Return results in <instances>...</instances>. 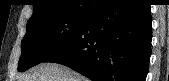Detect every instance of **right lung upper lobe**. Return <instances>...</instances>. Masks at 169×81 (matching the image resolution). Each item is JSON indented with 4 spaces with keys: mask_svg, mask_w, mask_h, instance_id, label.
Segmentation results:
<instances>
[{
    "mask_svg": "<svg viewBox=\"0 0 169 81\" xmlns=\"http://www.w3.org/2000/svg\"><path fill=\"white\" fill-rule=\"evenodd\" d=\"M33 15L29 22L50 16L89 17L111 0H34Z\"/></svg>",
    "mask_w": 169,
    "mask_h": 81,
    "instance_id": "obj_1",
    "label": "right lung upper lobe"
}]
</instances>
